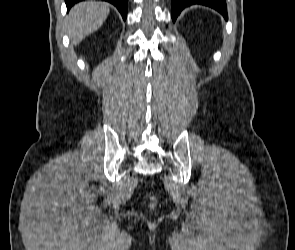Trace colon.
<instances>
[{"mask_svg": "<svg viewBox=\"0 0 295 250\" xmlns=\"http://www.w3.org/2000/svg\"><path fill=\"white\" fill-rule=\"evenodd\" d=\"M154 204H155V200L152 199V201H151V206H154Z\"/></svg>", "mask_w": 295, "mask_h": 250, "instance_id": "colon-1", "label": "colon"}]
</instances>
